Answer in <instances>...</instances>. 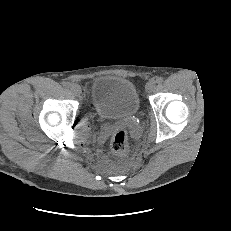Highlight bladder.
I'll use <instances>...</instances> for the list:
<instances>
[{"mask_svg": "<svg viewBox=\"0 0 231 231\" xmlns=\"http://www.w3.org/2000/svg\"><path fill=\"white\" fill-rule=\"evenodd\" d=\"M91 101L103 119H117L136 114L140 101L134 84L122 77L102 75L91 84Z\"/></svg>", "mask_w": 231, "mask_h": 231, "instance_id": "obj_1", "label": "bladder"}]
</instances>
